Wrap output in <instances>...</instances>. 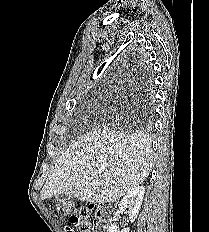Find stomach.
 <instances>
[{
  "label": "stomach",
  "instance_id": "0dacf381",
  "mask_svg": "<svg viewBox=\"0 0 209 232\" xmlns=\"http://www.w3.org/2000/svg\"><path fill=\"white\" fill-rule=\"evenodd\" d=\"M63 205H64V206H62V213L63 214H74L75 213V210L72 209V206H67L68 205L67 201H64Z\"/></svg>",
  "mask_w": 209,
  "mask_h": 232
}]
</instances>
